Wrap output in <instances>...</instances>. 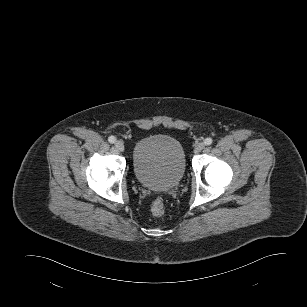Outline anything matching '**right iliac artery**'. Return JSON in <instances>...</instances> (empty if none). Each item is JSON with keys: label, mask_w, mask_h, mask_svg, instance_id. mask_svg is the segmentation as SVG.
Masks as SVG:
<instances>
[{"label": "right iliac artery", "mask_w": 307, "mask_h": 307, "mask_svg": "<svg viewBox=\"0 0 307 307\" xmlns=\"http://www.w3.org/2000/svg\"><path fill=\"white\" fill-rule=\"evenodd\" d=\"M108 141L113 144L116 141V138L114 136H110Z\"/></svg>", "instance_id": "obj_1"}]
</instances>
